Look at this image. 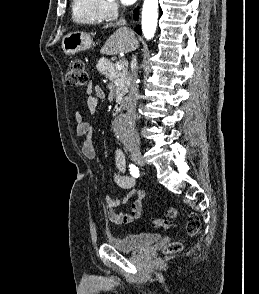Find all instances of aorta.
Wrapping results in <instances>:
<instances>
[{
  "mask_svg": "<svg viewBox=\"0 0 259 294\" xmlns=\"http://www.w3.org/2000/svg\"><path fill=\"white\" fill-rule=\"evenodd\" d=\"M158 19V0H144L142 9V31L147 40L154 37ZM132 121L127 116H120L116 122V129L121 134L129 133Z\"/></svg>",
  "mask_w": 259,
  "mask_h": 294,
  "instance_id": "762f6f07",
  "label": "aorta"
}]
</instances>
